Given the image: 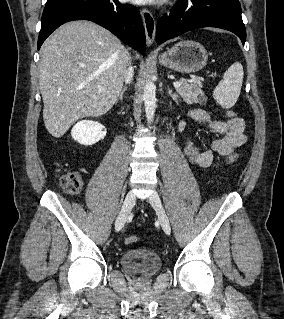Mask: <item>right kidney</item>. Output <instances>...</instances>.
<instances>
[{
  "label": "right kidney",
  "instance_id": "ca27d5eb",
  "mask_svg": "<svg viewBox=\"0 0 284 319\" xmlns=\"http://www.w3.org/2000/svg\"><path fill=\"white\" fill-rule=\"evenodd\" d=\"M106 135L105 127L96 121L82 120L79 121L71 130L72 138L81 145L90 146Z\"/></svg>",
  "mask_w": 284,
  "mask_h": 319
}]
</instances>
